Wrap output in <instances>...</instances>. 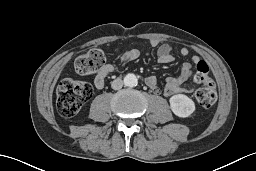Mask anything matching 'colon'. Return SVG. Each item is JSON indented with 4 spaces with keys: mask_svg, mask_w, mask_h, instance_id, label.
Listing matches in <instances>:
<instances>
[{
    "mask_svg": "<svg viewBox=\"0 0 256 171\" xmlns=\"http://www.w3.org/2000/svg\"><path fill=\"white\" fill-rule=\"evenodd\" d=\"M106 53L97 48L90 49L80 55L74 63L75 70L80 75H89L99 71L105 64ZM194 79L203 86L196 92V99L205 108H211L217 98L214 81L209 74V67L204 61L197 63ZM92 87L85 82L65 78L57 87V107L65 117L74 116L82 105L92 96Z\"/></svg>",
    "mask_w": 256,
    "mask_h": 171,
    "instance_id": "obj_1",
    "label": "colon"
}]
</instances>
